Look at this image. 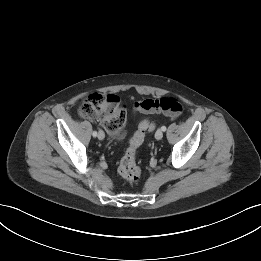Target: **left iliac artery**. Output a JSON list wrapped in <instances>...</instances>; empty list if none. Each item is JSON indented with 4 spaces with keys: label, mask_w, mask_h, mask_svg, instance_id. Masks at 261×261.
I'll list each match as a JSON object with an SVG mask.
<instances>
[{
    "label": "left iliac artery",
    "mask_w": 261,
    "mask_h": 261,
    "mask_svg": "<svg viewBox=\"0 0 261 261\" xmlns=\"http://www.w3.org/2000/svg\"><path fill=\"white\" fill-rule=\"evenodd\" d=\"M161 129H162L163 131H166V127H165V126H162Z\"/></svg>",
    "instance_id": "obj_1"
}]
</instances>
